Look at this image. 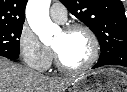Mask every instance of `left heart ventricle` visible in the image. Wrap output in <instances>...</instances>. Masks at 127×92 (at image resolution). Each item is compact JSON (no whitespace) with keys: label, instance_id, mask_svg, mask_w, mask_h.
<instances>
[{"label":"left heart ventricle","instance_id":"b2bd125f","mask_svg":"<svg viewBox=\"0 0 127 92\" xmlns=\"http://www.w3.org/2000/svg\"><path fill=\"white\" fill-rule=\"evenodd\" d=\"M52 46L59 53L63 62L70 67H79L86 63L92 53L88 35L81 30L71 33L61 31Z\"/></svg>","mask_w":127,"mask_h":92}]
</instances>
